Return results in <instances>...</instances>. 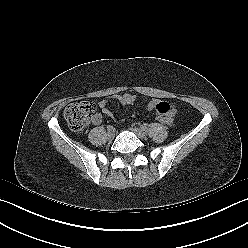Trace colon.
<instances>
[{"label":"colon","instance_id":"colon-1","mask_svg":"<svg viewBox=\"0 0 248 248\" xmlns=\"http://www.w3.org/2000/svg\"><path fill=\"white\" fill-rule=\"evenodd\" d=\"M95 112V105L91 101H80L69 104L64 110V118L69 128L75 133L85 130ZM156 121L168 125L169 121L164 115H157Z\"/></svg>","mask_w":248,"mask_h":248}]
</instances>
